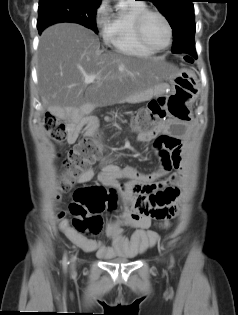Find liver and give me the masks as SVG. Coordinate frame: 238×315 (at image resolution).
<instances>
[{
    "mask_svg": "<svg viewBox=\"0 0 238 315\" xmlns=\"http://www.w3.org/2000/svg\"><path fill=\"white\" fill-rule=\"evenodd\" d=\"M96 75L85 83L86 75ZM44 110L60 118L84 104L112 105L140 94L169 75L159 58H134L100 49L93 31L60 23L40 37L37 65Z\"/></svg>",
    "mask_w": 238,
    "mask_h": 315,
    "instance_id": "liver-1",
    "label": "liver"
}]
</instances>
